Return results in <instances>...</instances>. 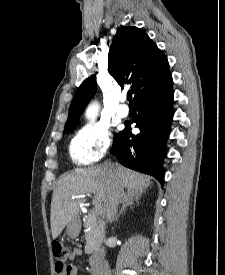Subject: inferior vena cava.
Listing matches in <instances>:
<instances>
[{
	"mask_svg": "<svg viewBox=\"0 0 225 275\" xmlns=\"http://www.w3.org/2000/svg\"><path fill=\"white\" fill-rule=\"evenodd\" d=\"M123 185L118 177H115L112 183L111 191L108 196L106 208L107 220L111 223L116 218L118 205L125 199ZM96 275H111L110 266L107 261H104L98 268Z\"/></svg>",
	"mask_w": 225,
	"mask_h": 275,
	"instance_id": "obj_1",
	"label": "inferior vena cava"
}]
</instances>
